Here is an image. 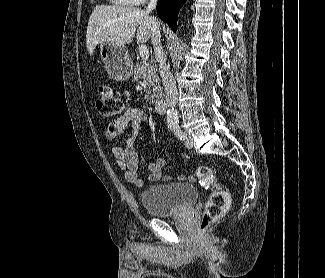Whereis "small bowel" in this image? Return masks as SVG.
<instances>
[{
    "mask_svg": "<svg viewBox=\"0 0 325 278\" xmlns=\"http://www.w3.org/2000/svg\"><path fill=\"white\" fill-rule=\"evenodd\" d=\"M147 120V114L140 108H128L125 113L117 119L111 121L105 129V137L109 141H115L119 136L125 134L127 130L131 135L123 146L112 145L111 152L115 157L116 165L124 171L126 180L138 187L142 186L138 170L141 165L138 149L135 144L136 135ZM150 171L149 180L152 182L167 181L169 177L163 173L165 160L157 158L152 162L144 163Z\"/></svg>",
    "mask_w": 325,
    "mask_h": 278,
    "instance_id": "small-bowel-1",
    "label": "small bowel"
}]
</instances>
